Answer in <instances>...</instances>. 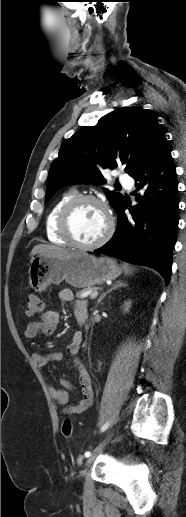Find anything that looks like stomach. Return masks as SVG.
I'll list each match as a JSON object with an SVG mask.
<instances>
[{
    "instance_id": "0dacf381",
    "label": "stomach",
    "mask_w": 186,
    "mask_h": 517,
    "mask_svg": "<svg viewBox=\"0 0 186 517\" xmlns=\"http://www.w3.org/2000/svg\"><path fill=\"white\" fill-rule=\"evenodd\" d=\"M120 274V267L109 257L96 258L87 253L64 259L39 255L30 261L29 284L35 291H43L51 283L65 280L73 287L83 288L114 280Z\"/></svg>"
}]
</instances>
